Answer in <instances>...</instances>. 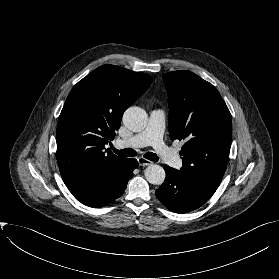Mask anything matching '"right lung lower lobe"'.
<instances>
[{"mask_svg":"<svg viewBox=\"0 0 279 279\" xmlns=\"http://www.w3.org/2000/svg\"><path fill=\"white\" fill-rule=\"evenodd\" d=\"M138 167L136 159H127L120 171L88 194L76 197L78 201L93 208H100L113 202L124 192L133 170Z\"/></svg>","mask_w":279,"mask_h":279,"instance_id":"right-lung-lower-lobe-1","label":"right lung lower lobe"}]
</instances>
